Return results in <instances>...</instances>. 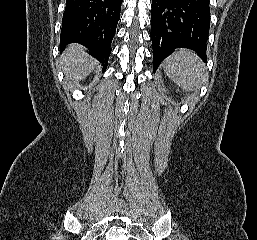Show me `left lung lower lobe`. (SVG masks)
Listing matches in <instances>:
<instances>
[{
  "mask_svg": "<svg viewBox=\"0 0 257 240\" xmlns=\"http://www.w3.org/2000/svg\"><path fill=\"white\" fill-rule=\"evenodd\" d=\"M209 0H152L153 70L176 48L195 51L206 62Z\"/></svg>",
  "mask_w": 257,
  "mask_h": 240,
  "instance_id": "1",
  "label": "left lung lower lobe"
}]
</instances>
